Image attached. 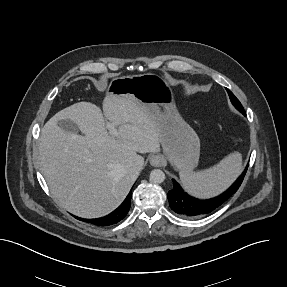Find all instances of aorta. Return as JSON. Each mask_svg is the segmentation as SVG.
<instances>
[{
	"instance_id": "762f6f07",
	"label": "aorta",
	"mask_w": 287,
	"mask_h": 287,
	"mask_svg": "<svg viewBox=\"0 0 287 287\" xmlns=\"http://www.w3.org/2000/svg\"><path fill=\"white\" fill-rule=\"evenodd\" d=\"M165 180V173L160 169H154L150 173V181L152 183H162Z\"/></svg>"
}]
</instances>
